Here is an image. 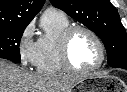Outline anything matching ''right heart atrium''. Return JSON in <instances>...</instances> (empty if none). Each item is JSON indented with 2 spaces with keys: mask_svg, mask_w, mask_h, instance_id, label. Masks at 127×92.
I'll list each match as a JSON object with an SVG mask.
<instances>
[{
  "mask_svg": "<svg viewBox=\"0 0 127 92\" xmlns=\"http://www.w3.org/2000/svg\"><path fill=\"white\" fill-rule=\"evenodd\" d=\"M33 31V24L28 25L21 33L17 45L20 63L25 67L35 65L36 42L33 39Z\"/></svg>",
  "mask_w": 127,
  "mask_h": 92,
  "instance_id": "1",
  "label": "right heart atrium"
}]
</instances>
